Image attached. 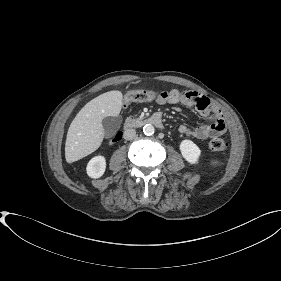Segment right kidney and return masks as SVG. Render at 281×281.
Returning <instances> with one entry per match:
<instances>
[{
	"label": "right kidney",
	"instance_id": "ca27d5eb",
	"mask_svg": "<svg viewBox=\"0 0 281 281\" xmlns=\"http://www.w3.org/2000/svg\"><path fill=\"white\" fill-rule=\"evenodd\" d=\"M106 169V160L104 156H95L87 164L86 171L89 177L99 178Z\"/></svg>",
	"mask_w": 281,
	"mask_h": 281
}]
</instances>
